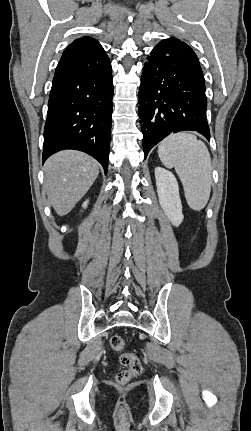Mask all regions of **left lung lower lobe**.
I'll return each mask as SVG.
<instances>
[{
	"label": "left lung lower lobe",
	"instance_id": "0a47b994",
	"mask_svg": "<svg viewBox=\"0 0 251 431\" xmlns=\"http://www.w3.org/2000/svg\"><path fill=\"white\" fill-rule=\"evenodd\" d=\"M144 157L158 142L179 131H197L210 140L205 81L194 51L169 38L150 53L139 88Z\"/></svg>",
	"mask_w": 251,
	"mask_h": 431
}]
</instances>
